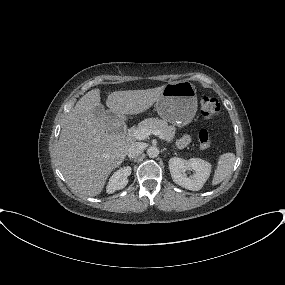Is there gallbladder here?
Returning <instances> with one entry per match:
<instances>
[{"mask_svg":"<svg viewBox=\"0 0 285 285\" xmlns=\"http://www.w3.org/2000/svg\"><path fill=\"white\" fill-rule=\"evenodd\" d=\"M93 113L96 117V119L99 121V123L102 125L104 129H106V116L107 112L105 111L103 105H97L93 108Z\"/></svg>","mask_w":285,"mask_h":285,"instance_id":"1","label":"gallbladder"}]
</instances>
